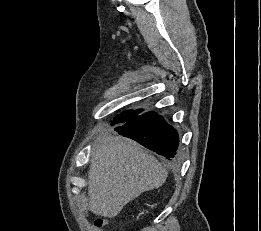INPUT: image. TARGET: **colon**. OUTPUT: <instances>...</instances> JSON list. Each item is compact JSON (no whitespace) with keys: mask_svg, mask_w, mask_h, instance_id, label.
<instances>
[{"mask_svg":"<svg viewBox=\"0 0 261 231\" xmlns=\"http://www.w3.org/2000/svg\"><path fill=\"white\" fill-rule=\"evenodd\" d=\"M105 225H106V221L105 220H97L95 222V229L97 231H102Z\"/></svg>","mask_w":261,"mask_h":231,"instance_id":"1","label":"colon"}]
</instances>
